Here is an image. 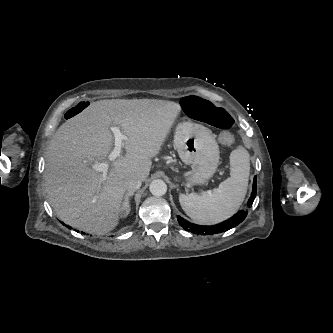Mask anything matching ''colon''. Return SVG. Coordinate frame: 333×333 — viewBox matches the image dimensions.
<instances>
[{"label": "colon", "instance_id": "colon-1", "mask_svg": "<svg viewBox=\"0 0 333 333\" xmlns=\"http://www.w3.org/2000/svg\"><path fill=\"white\" fill-rule=\"evenodd\" d=\"M88 104L80 102L70 108L66 115V119H72L81 114ZM182 106L187 114L198 121L219 128L221 130H229L234 122L230 114L223 108L215 106L211 101L196 95L186 96L182 99ZM234 132L241 133L240 127H235Z\"/></svg>", "mask_w": 333, "mask_h": 333}]
</instances>
